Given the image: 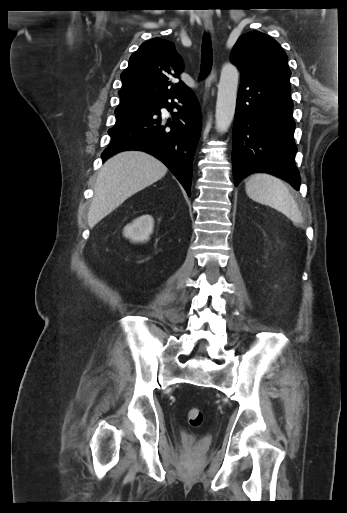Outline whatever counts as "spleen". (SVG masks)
Masks as SVG:
<instances>
[{
  "mask_svg": "<svg viewBox=\"0 0 347 513\" xmlns=\"http://www.w3.org/2000/svg\"><path fill=\"white\" fill-rule=\"evenodd\" d=\"M245 190L252 200L275 208L293 222H302L297 202L279 178L266 173L253 174L245 182Z\"/></svg>",
  "mask_w": 347,
  "mask_h": 513,
  "instance_id": "1",
  "label": "spleen"
}]
</instances>
